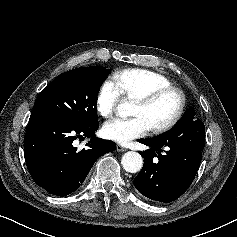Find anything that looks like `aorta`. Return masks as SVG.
Here are the masks:
<instances>
[{
  "mask_svg": "<svg viewBox=\"0 0 237 237\" xmlns=\"http://www.w3.org/2000/svg\"><path fill=\"white\" fill-rule=\"evenodd\" d=\"M117 110L121 116H128L131 114L132 106L130 103L124 102L118 105ZM121 164L125 171L136 173L143 166V158L139 153L129 151L122 156Z\"/></svg>",
  "mask_w": 237,
  "mask_h": 237,
  "instance_id": "762f6f07",
  "label": "aorta"
}]
</instances>
